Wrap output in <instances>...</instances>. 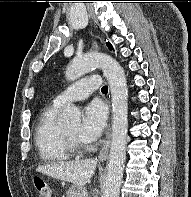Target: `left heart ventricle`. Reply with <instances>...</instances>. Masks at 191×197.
Returning <instances> with one entry per match:
<instances>
[{
  "mask_svg": "<svg viewBox=\"0 0 191 197\" xmlns=\"http://www.w3.org/2000/svg\"><path fill=\"white\" fill-rule=\"evenodd\" d=\"M65 130L72 136L76 137L77 136V133H78V126H75V127H69V128H65Z\"/></svg>",
  "mask_w": 191,
  "mask_h": 197,
  "instance_id": "1",
  "label": "left heart ventricle"
}]
</instances>
